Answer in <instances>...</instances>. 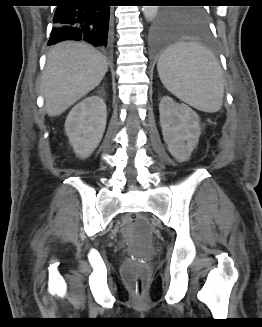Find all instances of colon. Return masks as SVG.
I'll use <instances>...</instances> for the list:
<instances>
[{
    "label": "colon",
    "mask_w": 262,
    "mask_h": 327,
    "mask_svg": "<svg viewBox=\"0 0 262 327\" xmlns=\"http://www.w3.org/2000/svg\"><path fill=\"white\" fill-rule=\"evenodd\" d=\"M125 232L131 242L135 245L146 247L151 237V228L148 221L143 217H132L124 226ZM131 289L138 300H142L145 295V276L147 269L143 262L136 260L134 266L125 269Z\"/></svg>",
    "instance_id": "5ec220e1"
}]
</instances>
